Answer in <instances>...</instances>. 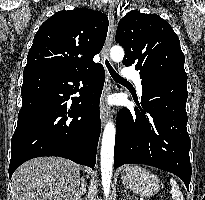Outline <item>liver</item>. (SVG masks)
Wrapping results in <instances>:
<instances>
[{
	"mask_svg": "<svg viewBox=\"0 0 205 200\" xmlns=\"http://www.w3.org/2000/svg\"><path fill=\"white\" fill-rule=\"evenodd\" d=\"M80 166L60 157H38L23 163L12 176L14 200H76Z\"/></svg>",
	"mask_w": 205,
	"mask_h": 200,
	"instance_id": "6515ba94",
	"label": "liver"
}]
</instances>
